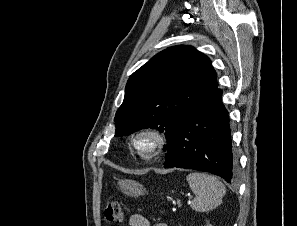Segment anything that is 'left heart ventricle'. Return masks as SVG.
I'll use <instances>...</instances> for the list:
<instances>
[{
    "label": "left heart ventricle",
    "mask_w": 297,
    "mask_h": 226,
    "mask_svg": "<svg viewBox=\"0 0 297 226\" xmlns=\"http://www.w3.org/2000/svg\"><path fill=\"white\" fill-rule=\"evenodd\" d=\"M149 142H150L149 139H143L142 144H143V145H148Z\"/></svg>",
    "instance_id": "1"
}]
</instances>
